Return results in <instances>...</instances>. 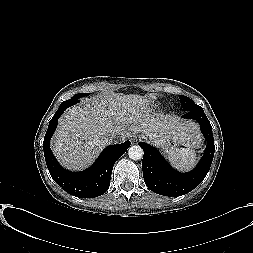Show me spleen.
I'll return each instance as SVG.
<instances>
[{"instance_id": "spleen-1", "label": "spleen", "mask_w": 253, "mask_h": 253, "mask_svg": "<svg viewBox=\"0 0 253 253\" xmlns=\"http://www.w3.org/2000/svg\"><path fill=\"white\" fill-rule=\"evenodd\" d=\"M168 159L173 167L181 171L192 169L197 161L195 150L189 148H176L172 150Z\"/></svg>"}]
</instances>
